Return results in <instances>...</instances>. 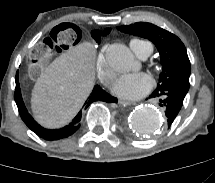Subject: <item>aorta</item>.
Masks as SVG:
<instances>
[{
    "mask_svg": "<svg viewBox=\"0 0 215 183\" xmlns=\"http://www.w3.org/2000/svg\"><path fill=\"white\" fill-rule=\"evenodd\" d=\"M110 67L117 72H128L134 63V56L123 44H113L106 52ZM131 129L139 134L151 135L163 125L161 112L152 106L136 108L129 117Z\"/></svg>",
    "mask_w": 215,
    "mask_h": 183,
    "instance_id": "obj_1",
    "label": "aorta"
}]
</instances>
